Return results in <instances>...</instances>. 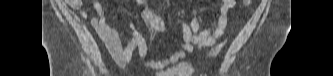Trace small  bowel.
Segmentation results:
<instances>
[{
    "mask_svg": "<svg viewBox=\"0 0 333 76\" xmlns=\"http://www.w3.org/2000/svg\"><path fill=\"white\" fill-rule=\"evenodd\" d=\"M66 8L70 11H77L82 8L81 0L64 1ZM142 7V18L150 35L164 31L163 22L152 12L147 0H138ZM235 0H221L214 19L210 25L200 30V24L193 11L189 23L177 19L182 29V40L175 42L177 47L169 56L160 60L145 62V66L154 70L158 76H190L193 73L192 67L188 63L181 62L186 54L205 47L213 46L223 35L228 24V13L235 6ZM95 15L90 23L97 31L114 62L119 67H126L131 60L134 50H138L139 57L145 58L148 45L144 35L138 30L135 23L129 24L131 39L126 45L122 44L117 29L107 20L105 12L99 1L93 2ZM81 18L88 16V11H80Z\"/></svg>",
    "mask_w": 333,
    "mask_h": 76,
    "instance_id": "1",
    "label": "small bowel"
}]
</instances>
